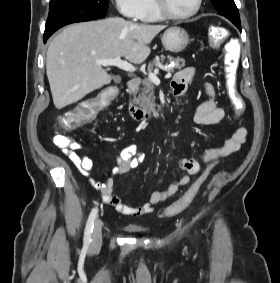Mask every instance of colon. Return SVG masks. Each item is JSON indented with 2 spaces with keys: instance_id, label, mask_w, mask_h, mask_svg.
<instances>
[{
  "instance_id": "5ec220e1",
  "label": "colon",
  "mask_w": 280,
  "mask_h": 283,
  "mask_svg": "<svg viewBox=\"0 0 280 283\" xmlns=\"http://www.w3.org/2000/svg\"><path fill=\"white\" fill-rule=\"evenodd\" d=\"M228 35L229 30L224 26L210 25L208 27L209 41L213 48L218 47ZM236 41L237 38L233 37L232 41H229L225 46L224 74L228 95L236 113L240 115L245 110V102L236 87L238 55H242V50H239L240 43ZM115 94L116 87H105V92L94 100L85 102L81 107H76V110H65V114L58 115L59 119H63V122H57L58 131L75 132V127H81V124H91L92 120L98 119V112H104V107L101 106L107 104ZM54 142L58 147L63 149L74 146L72 139L59 133L55 135ZM204 178L205 175H201L178 202L168 206L164 216L171 218L184 211L194 200Z\"/></svg>"
}]
</instances>
